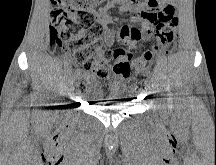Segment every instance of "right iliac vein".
Segmentation results:
<instances>
[{
  "label": "right iliac vein",
  "instance_id": "63e3f726",
  "mask_svg": "<svg viewBox=\"0 0 216 165\" xmlns=\"http://www.w3.org/2000/svg\"><path fill=\"white\" fill-rule=\"evenodd\" d=\"M79 82V79L76 78L73 82H72V87H71V96L75 97L76 96V92H77V84Z\"/></svg>",
  "mask_w": 216,
  "mask_h": 165
}]
</instances>
